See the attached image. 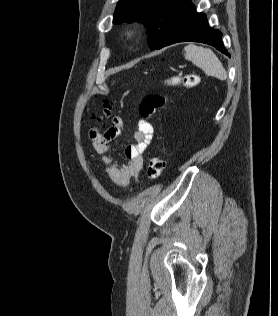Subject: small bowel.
Listing matches in <instances>:
<instances>
[{
    "label": "small bowel",
    "instance_id": "small-bowel-1",
    "mask_svg": "<svg viewBox=\"0 0 278 316\" xmlns=\"http://www.w3.org/2000/svg\"><path fill=\"white\" fill-rule=\"evenodd\" d=\"M122 127V118L114 116L104 133L93 130L90 132V138L93 150L102 158L105 174L115 184L126 187L132 179L138 177L143 167V154L153 137L154 129L148 120L140 118L133 134L135 142L124 149L127 162L119 164L110 154V143L119 136Z\"/></svg>",
    "mask_w": 278,
    "mask_h": 316
}]
</instances>
